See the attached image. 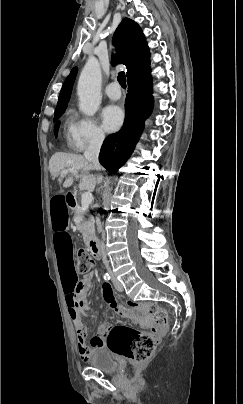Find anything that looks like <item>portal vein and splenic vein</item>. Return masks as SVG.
I'll list each match as a JSON object with an SVG mask.
<instances>
[{
    "label": "portal vein and splenic vein",
    "instance_id": "portal-vein-and-splenic-vein-1",
    "mask_svg": "<svg viewBox=\"0 0 243 404\" xmlns=\"http://www.w3.org/2000/svg\"><path fill=\"white\" fill-rule=\"evenodd\" d=\"M75 174V176H77V172L76 170H63V172H61V176H66V174ZM93 200V196L91 194V192H84V194H82L81 196V204H82V210L83 212H87L88 208H89V204H91Z\"/></svg>",
    "mask_w": 243,
    "mask_h": 404
}]
</instances>
